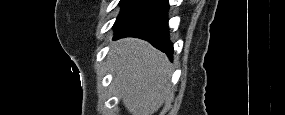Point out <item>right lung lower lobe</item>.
<instances>
[{"mask_svg":"<svg viewBox=\"0 0 285 115\" xmlns=\"http://www.w3.org/2000/svg\"><path fill=\"white\" fill-rule=\"evenodd\" d=\"M168 0H159L153 6L136 14L117 29L114 40L123 37H137L150 42L154 47L173 59V46L169 41Z\"/></svg>","mask_w":285,"mask_h":115,"instance_id":"1","label":"right lung lower lobe"}]
</instances>
